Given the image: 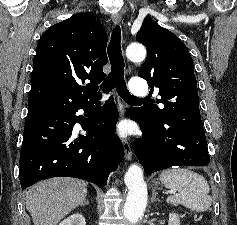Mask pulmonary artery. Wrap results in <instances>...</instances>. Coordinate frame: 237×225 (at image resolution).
<instances>
[{
    "label": "pulmonary artery",
    "instance_id": "obj_1",
    "mask_svg": "<svg viewBox=\"0 0 237 225\" xmlns=\"http://www.w3.org/2000/svg\"><path fill=\"white\" fill-rule=\"evenodd\" d=\"M130 91L137 96H145L148 92L141 78H132L129 84Z\"/></svg>",
    "mask_w": 237,
    "mask_h": 225
}]
</instances>
